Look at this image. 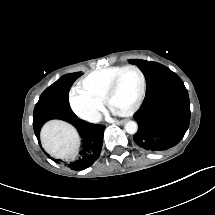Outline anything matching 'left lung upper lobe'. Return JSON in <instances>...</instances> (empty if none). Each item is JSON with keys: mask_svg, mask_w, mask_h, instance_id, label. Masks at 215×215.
Listing matches in <instances>:
<instances>
[{"mask_svg": "<svg viewBox=\"0 0 215 215\" xmlns=\"http://www.w3.org/2000/svg\"><path fill=\"white\" fill-rule=\"evenodd\" d=\"M143 72L147 90L135 114V143L146 151H164L177 145L190 123V102L182 80L155 62L132 60Z\"/></svg>", "mask_w": 215, "mask_h": 215, "instance_id": "left-lung-upper-lobe-1", "label": "left lung upper lobe"}]
</instances>
